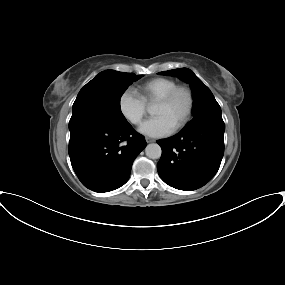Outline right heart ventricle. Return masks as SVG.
I'll return each mask as SVG.
<instances>
[{
  "label": "right heart ventricle",
  "mask_w": 285,
  "mask_h": 285,
  "mask_svg": "<svg viewBox=\"0 0 285 285\" xmlns=\"http://www.w3.org/2000/svg\"><path fill=\"white\" fill-rule=\"evenodd\" d=\"M177 85V81L172 78L157 77L140 85L138 87V94L145 104L151 105L156 103Z\"/></svg>",
  "instance_id": "right-heart-ventricle-1"
}]
</instances>
